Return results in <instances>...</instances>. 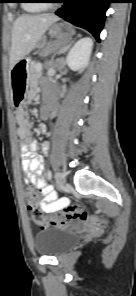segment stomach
<instances>
[{
    "mask_svg": "<svg viewBox=\"0 0 136 296\" xmlns=\"http://www.w3.org/2000/svg\"><path fill=\"white\" fill-rule=\"evenodd\" d=\"M60 30L59 26H55L51 29V34H57ZM59 37H68L64 34H60ZM30 74V58H22L12 68L13 84H28L27 74ZM13 90V107L21 108L24 105L25 90H29V85H12Z\"/></svg>",
    "mask_w": 136,
    "mask_h": 296,
    "instance_id": "0dacf381",
    "label": "stomach"
}]
</instances>
